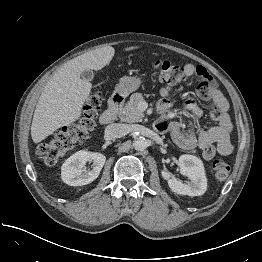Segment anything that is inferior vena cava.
<instances>
[{
    "label": "inferior vena cava",
    "mask_w": 262,
    "mask_h": 262,
    "mask_svg": "<svg viewBox=\"0 0 262 262\" xmlns=\"http://www.w3.org/2000/svg\"><path fill=\"white\" fill-rule=\"evenodd\" d=\"M127 134V129L124 124L114 123L105 128V135L108 138H120Z\"/></svg>",
    "instance_id": "obj_1"
}]
</instances>
